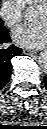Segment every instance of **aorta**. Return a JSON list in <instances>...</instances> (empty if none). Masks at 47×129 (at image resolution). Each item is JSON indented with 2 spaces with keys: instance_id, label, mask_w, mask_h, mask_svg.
I'll use <instances>...</instances> for the list:
<instances>
[{
  "instance_id": "obj_1",
  "label": "aorta",
  "mask_w": 47,
  "mask_h": 129,
  "mask_svg": "<svg viewBox=\"0 0 47 129\" xmlns=\"http://www.w3.org/2000/svg\"><path fill=\"white\" fill-rule=\"evenodd\" d=\"M25 14H27V13H25ZM38 62L42 69H46L47 68V54L41 53L38 58Z\"/></svg>"
}]
</instances>
